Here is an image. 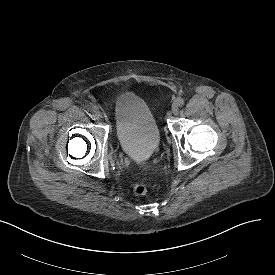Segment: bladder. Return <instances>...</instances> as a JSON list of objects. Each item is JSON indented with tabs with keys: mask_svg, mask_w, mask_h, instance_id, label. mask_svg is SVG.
<instances>
[{
	"mask_svg": "<svg viewBox=\"0 0 275 275\" xmlns=\"http://www.w3.org/2000/svg\"><path fill=\"white\" fill-rule=\"evenodd\" d=\"M114 119L119 146L130 158L143 161L158 149V126L149 106L139 95L133 92L118 95Z\"/></svg>",
	"mask_w": 275,
	"mask_h": 275,
	"instance_id": "1",
	"label": "bladder"
}]
</instances>
